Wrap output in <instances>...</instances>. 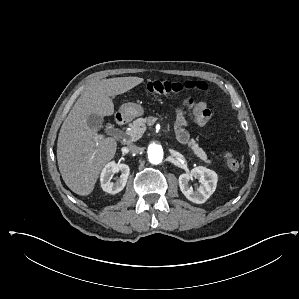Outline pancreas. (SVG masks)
Masks as SVG:
<instances>
[{
  "mask_svg": "<svg viewBox=\"0 0 299 299\" xmlns=\"http://www.w3.org/2000/svg\"><path fill=\"white\" fill-rule=\"evenodd\" d=\"M146 122V119L138 118L135 121H133L132 124L129 125L130 128L126 132L129 141L133 142L142 137L143 133L146 130ZM188 147H190L194 154L197 157H199L202 161H204L207 164H211V160L208 159L205 151L201 147H199V145L196 143L194 139H191V141L188 143Z\"/></svg>",
  "mask_w": 299,
  "mask_h": 299,
  "instance_id": "cf45deb5",
  "label": "pancreas"
}]
</instances>
